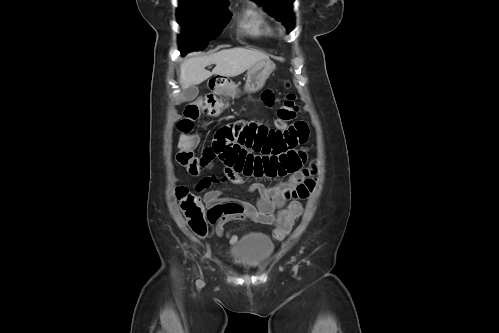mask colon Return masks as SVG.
Returning a JSON list of instances; mask_svg holds the SVG:
<instances>
[{
    "label": "colon",
    "instance_id": "colon-1",
    "mask_svg": "<svg viewBox=\"0 0 499 333\" xmlns=\"http://www.w3.org/2000/svg\"><path fill=\"white\" fill-rule=\"evenodd\" d=\"M298 113L296 96L289 94L276 112V124L283 128L292 121ZM199 108L190 106L186 109L185 116L178 122V129L182 136L179 143V150L176 155L177 162L185 167L191 175H197L201 171L200 159L194 155V148L197 144V137L193 134L194 122L198 118ZM176 196L180 202V207L184 213L188 226L198 236L208 234L211 221L200 198L190 192L186 187H178ZM302 204L291 201L287 207L281 209L277 215L276 227L273 230V237L281 240L292 229L295 221L301 216Z\"/></svg>",
    "mask_w": 499,
    "mask_h": 333
}]
</instances>
